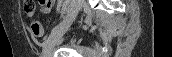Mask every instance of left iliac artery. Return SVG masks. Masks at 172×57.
Returning <instances> with one entry per match:
<instances>
[{
  "label": "left iliac artery",
  "instance_id": "left-iliac-artery-1",
  "mask_svg": "<svg viewBox=\"0 0 172 57\" xmlns=\"http://www.w3.org/2000/svg\"><path fill=\"white\" fill-rule=\"evenodd\" d=\"M62 5V1L59 2L57 10L60 11V6Z\"/></svg>",
  "mask_w": 172,
  "mask_h": 57
}]
</instances>
